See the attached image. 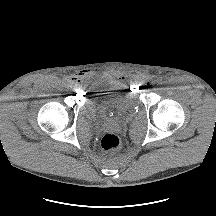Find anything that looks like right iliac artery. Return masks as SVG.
Segmentation results:
<instances>
[{"label": "right iliac artery", "mask_w": 216, "mask_h": 216, "mask_svg": "<svg viewBox=\"0 0 216 216\" xmlns=\"http://www.w3.org/2000/svg\"><path fill=\"white\" fill-rule=\"evenodd\" d=\"M66 83V86L72 87L73 83L72 81H68L67 79L64 81Z\"/></svg>", "instance_id": "right-iliac-artery-1"}]
</instances>
